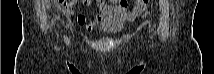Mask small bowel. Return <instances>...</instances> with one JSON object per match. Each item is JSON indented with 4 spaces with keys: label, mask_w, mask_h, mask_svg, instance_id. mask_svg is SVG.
<instances>
[{
    "label": "small bowel",
    "mask_w": 214,
    "mask_h": 74,
    "mask_svg": "<svg viewBox=\"0 0 214 74\" xmlns=\"http://www.w3.org/2000/svg\"><path fill=\"white\" fill-rule=\"evenodd\" d=\"M79 1L68 2V7L73 8ZM87 3H90L89 1ZM97 7V12L91 16L86 17L84 14L77 16V24L83 27L86 31H91L95 26L98 25L105 15H115L119 18H131L136 17L141 12L139 5L132 6L130 10L127 9V3H120L119 5H107L104 1H94ZM72 14V12H71Z\"/></svg>",
    "instance_id": "obj_1"
}]
</instances>
